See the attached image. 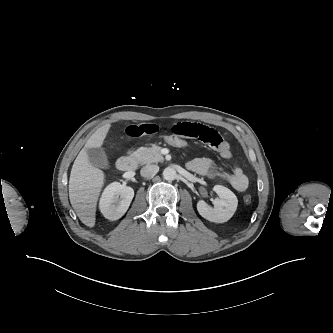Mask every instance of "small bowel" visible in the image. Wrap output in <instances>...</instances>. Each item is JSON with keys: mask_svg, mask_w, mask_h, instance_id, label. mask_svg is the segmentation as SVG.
I'll return each mask as SVG.
<instances>
[{"mask_svg": "<svg viewBox=\"0 0 333 333\" xmlns=\"http://www.w3.org/2000/svg\"><path fill=\"white\" fill-rule=\"evenodd\" d=\"M126 133L131 137H142L160 134L168 131L187 139H195L207 144L222 158L232 156L230 145L214 129L197 122L179 121L169 128L157 123H137L126 127ZM187 168L200 175L226 181L237 191H245L249 179L239 165H234L231 172L216 169L214 162L209 158H195L187 163Z\"/></svg>", "mask_w": 333, "mask_h": 333, "instance_id": "1", "label": "small bowel"}]
</instances>
